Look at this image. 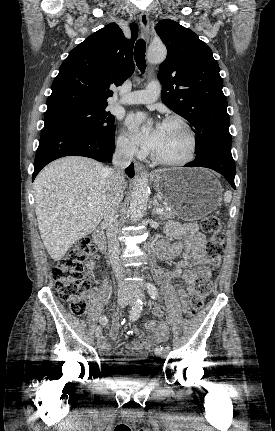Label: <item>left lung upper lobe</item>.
<instances>
[{
	"label": "left lung upper lobe",
	"instance_id": "obj_1",
	"mask_svg": "<svg viewBox=\"0 0 275 431\" xmlns=\"http://www.w3.org/2000/svg\"><path fill=\"white\" fill-rule=\"evenodd\" d=\"M156 32L167 47L158 72L161 99L193 126L196 156L230 149L227 99L211 49L192 30L170 19L161 20Z\"/></svg>",
	"mask_w": 275,
	"mask_h": 431
}]
</instances>
